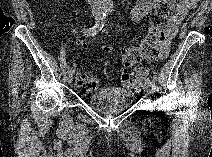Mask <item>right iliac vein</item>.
Listing matches in <instances>:
<instances>
[{
	"label": "right iliac vein",
	"instance_id": "1",
	"mask_svg": "<svg viewBox=\"0 0 212 157\" xmlns=\"http://www.w3.org/2000/svg\"><path fill=\"white\" fill-rule=\"evenodd\" d=\"M72 81H73V74H69L67 77V82L72 83Z\"/></svg>",
	"mask_w": 212,
	"mask_h": 157
}]
</instances>
